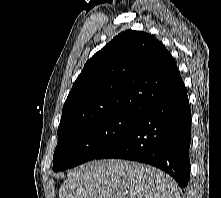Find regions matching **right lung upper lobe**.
I'll list each match as a JSON object with an SVG mask.
<instances>
[{
    "label": "right lung upper lobe",
    "instance_id": "obj_1",
    "mask_svg": "<svg viewBox=\"0 0 221 198\" xmlns=\"http://www.w3.org/2000/svg\"><path fill=\"white\" fill-rule=\"evenodd\" d=\"M182 82L161 42L124 31L86 62L64 103L58 136L110 115H141Z\"/></svg>",
    "mask_w": 221,
    "mask_h": 198
}]
</instances>
